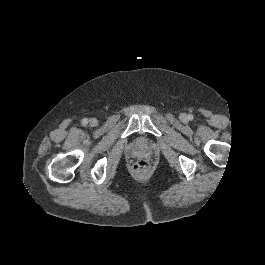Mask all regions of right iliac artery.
Wrapping results in <instances>:
<instances>
[{"instance_id": "82829eb1", "label": "right iliac artery", "mask_w": 265, "mask_h": 265, "mask_svg": "<svg viewBox=\"0 0 265 265\" xmlns=\"http://www.w3.org/2000/svg\"><path fill=\"white\" fill-rule=\"evenodd\" d=\"M82 124H83L84 126H86V125L88 124V119H87V118H84V119L82 120Z\"/></svg>"}]
</instances>
